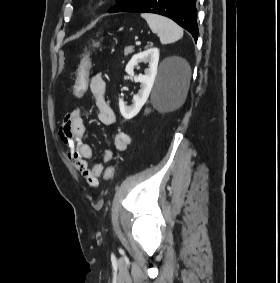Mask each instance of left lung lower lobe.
<instances>
[{
    "mask_svg": "<svg viewBox=\"0 0 280 283\" xmlns=\"http://www.w3.org/2000/svg\"><path fill=\"white\" fill-rule=\"evenodd\" d=\"M124 12L156 13L174 20L198 38L196 0H138Z\"/></svg>",
    "mask_w": 280,
    "mask_h": 283,
    "instance_id": "obj_1",
    "label": "left lung lower lobe"
}]
</instances>
